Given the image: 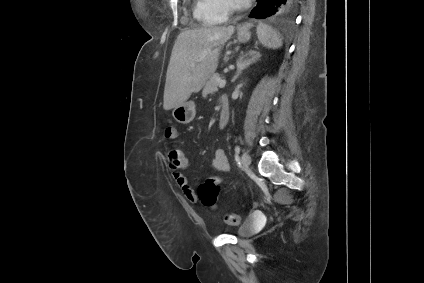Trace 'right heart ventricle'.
Segmentation results:
<instances>
[{"mask_svg":"<svg viewBox=\"0 0 424 283\" xmlns=\"http://www.w3.org/2000/svg\"><path fill=\"white\" fill-rule=\"evenodd\" d=\"M194 17L204 26H215L225 20L214 0H195Z\"/></svg>","mask_w":424,"mask_h":283,"instance_id":"e07e8e85","label":"right heart ventricle"}]
</instances>
